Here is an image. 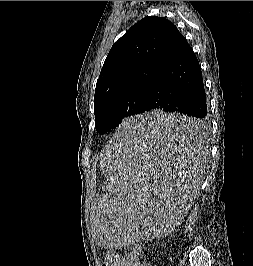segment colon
I'll return each mask as SVG.
<instances>
[{
	"mask_svg": "<svg viewBox=\"0 0 253 266\" xmlns=\"http://www.w3.org/2000/svg\"><path fill=\"white\" fill-rule=\"evenodd\" d=\"M102 266H122V261L118 255L108 253L105 255V261Z\"/></svg>",
	"mask_w": 253,
	"mask_h": 266,
	"instance_id": "obj_1",
	"label": "colon"
}]
</instances>
